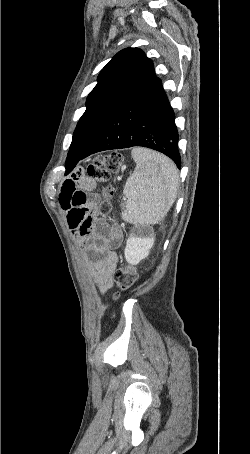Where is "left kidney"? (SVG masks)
I'll list each match as a JSON object with an SVG mask.
<instances>
[{"label":"left kidney","mask_w":250,"mask_h":454,"mask_svg":"<svg viewBox=\"0 0 250 454\" xmlns=\"http://www.w3.org/2000/svg\"><path fill=\"white\" fill-rule=\"evenodd\" d=\"M154 241V237H145L143 234L131 235L124 250L126 261L131 265H137L149 255Z\"/></svg>","instance_id":"1"}]
</instances>
